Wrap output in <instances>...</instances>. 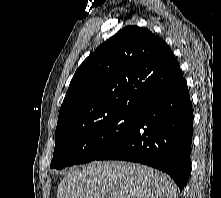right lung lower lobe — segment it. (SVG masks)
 Here are the masks:
<instances>
[{"label": "right lung lower lobe", "mask_w": 221, "mask_h": 198, "mask_svg": "<svg viewBox=\"0 0 221 198\" xmlns=\"http://www.w3.org/2000/svg\"><path fill=\"white\" fill-rule=\"evenodd\" d=\"M193 110L185 78L164 91L138 114L132 130L95 160H125L157 168L178 185L190 169Z\"/></svg>", "instance_id": "98d812e1"}]
</instances>
